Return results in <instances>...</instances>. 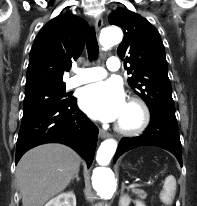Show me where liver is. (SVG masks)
Wrapping results in <instances>:
<instances>
[{"instance_id":"1","label":"liver","mask_w":197,"mask_h":206,"mask_svg":"<svg viewBox=\"0 0 197 206\" xmlns=\"http://www.w3.org/2000/svg\"><path fill=\"white\" fill-rule=\"evenodd\" d=\"M80 156L62 144H45L26 152L16 169L23 206H43L63 191L79 171Z\"/></svg>"}]
</instances>
